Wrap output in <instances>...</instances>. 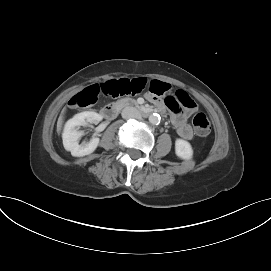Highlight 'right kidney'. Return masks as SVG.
I'll list each match as a JSON object with an SVG mask.
<instances>
[{"mask_svg": "<svg viewBox=\"0 0 271 271\" xmlns=\"http://www.w3.org/2000/svg\"><path fill=\"white\" fill-rule=\"evenodd\" d=\"M101 120L102 117L92 111L78 113L68 120L62 134L64 148L75 157H83L93 153L99 144V138L93 137L89 142L79 145V139L83 135V131H80L79 127L86 126L87 123H98Z\"/></svg>", "mask_w": 271, "mask_h": 271, "instance_id": "right-kidney-1", "label": "right kidney"}]
</instances>
